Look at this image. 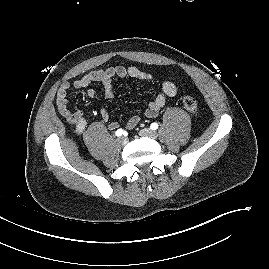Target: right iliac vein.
Masks as SVG:
<instances>
[{
	"label": "right iliac vein",
	"mask_w": 269,
	"mask_h": 269,
	"mask_svg": "<svg viewBox=\"0 0 269 269\" xmlns=\"http://www.w3.org/2000/svg\"><path fill=\"white\" fill-rule=\"evenodd\" d=\"M117 142H118L120 145H126L127 142H128V140H127V138H125V137H120V138L117 139Z\"/></svg>",
	"instance_id": "right-iliac-vein-1"
}]
</instances>
